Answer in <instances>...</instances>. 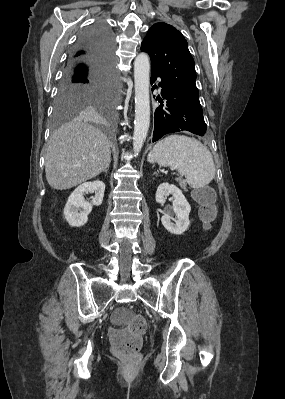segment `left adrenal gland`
Wrapping results in <instances>:
<instances>
[{
    "instance_id": "a2214340",
    "label": "left adrenal gland",
    "mask_w": 285,
    "mask_h": 399,
    "mask_svg": "<svg viewBox=\"0 0 285 399\" xmlns=\"http://www.w3.org/2000/svg\"><path fill=\"white\" fill-rule=\"evenodd\" d=\"M153 175H156V176H158V174H157L156 172H154V173H153Z\"/></svg>"
}]
</instances>
